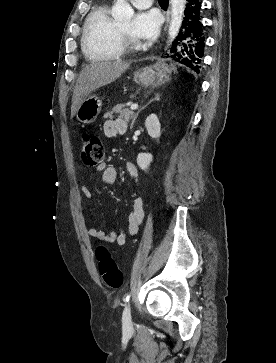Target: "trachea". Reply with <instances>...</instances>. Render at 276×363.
<instances>
[{
    "mask_svg": "<svg viewBox=\"0 0 276 363\" xmlns=\"http://www.w3.org/2000/svg\"><path fill=\"white\" fill-rule=\"evenodd\" d=\"M160 5H168L169 0H158Z\"/></svg>",
    "mask_w": 276,
    "mask_h": 363,
    "instance_id": "obj_1",
    "label": "trachea"
}]
</instances>
